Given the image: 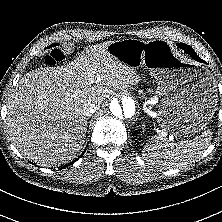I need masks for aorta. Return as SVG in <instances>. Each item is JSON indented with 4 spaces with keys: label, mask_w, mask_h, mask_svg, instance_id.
Instances as JSON below:
<instances>
[{
    "label": "aorta",
    "mask_w": 222,
    "mask_h": 222,
    "mask_svg": "<svg viewBox=\"0 0 222 222\" xmlns=\"http://www.w3.org/2000/svg\"><path fill=\"white\" fill-rule=\"evenodd\" d=\"M109 109L111 115L121 122L132 119L137 113L136 102L130 95H123L119 100H112Z\"/></svg>",
    "instance_id": "1"
}]
</instances>
